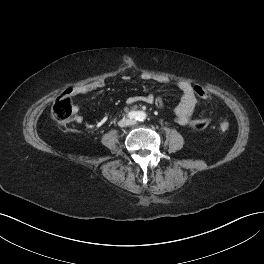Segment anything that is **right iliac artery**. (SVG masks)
Masks as SVG:
<instances>
[{"label":"right iliac artery","instance_id":"obj_1","mask_svg":"<svg viewBox=\"0 0 264 264\" xmlns=\"http://www.w3.org/2000/svg\"><path fill=\"white\" fill-rule=\"evenodd\" d=\"M128 117L133 120H138L139 113L135 111L129 112Z\"/></svg>","mask_w":264,"mask_h":264}]
</instances>
